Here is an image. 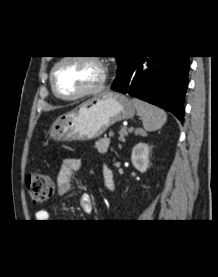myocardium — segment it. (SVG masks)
Wrapping results in <instances>:
<instances>
[{
	"label": "myocardium",
	"mask_w": 218,
	"mask_h": 277,
	"mask_svg": "<svg viewBox=\"0 0 218 277\" xmlns=\"http://www.w3.org/2000/svg\"><path fill=\"white\" fill-rule=\"evenodd\" d=\"M71 60H81V61H86L90 63L97 69L98 78H97V81L92 86L88 87L82 92L73 96H64L56 88L55 73L61 65ZM107 77H108L107 67L100 60V58L92 55H65L61 57L58 61H56L55 64L53 65L50 72V85L54 95L59 99L65 100V101H75L101 92L105 87Z\"/></svg>",
	"instance_id": "1"
}]
</instances>
